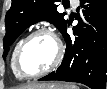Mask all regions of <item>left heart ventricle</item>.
<instances>
[{
  "label": "left heart ventricle",
  "instance_id": "1",
  "mask_svg": "<svg viewBox=\"0 0 107 89\" xmlns=\"http://www.w3.org/2000/svg\"><path fill=\"white\" fill-rule=\"evenodd\" d=\"M56 53L54 39L47 34H38L25 45L20 56V68L27 74L42 71L54 61Z\"/></svg>",
  "mask_w": 107,
  "mask_h": 89
}]
</instances>
